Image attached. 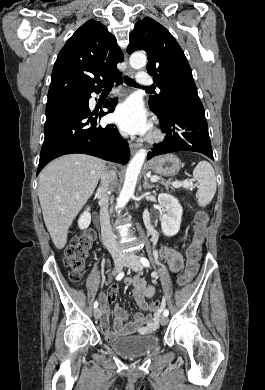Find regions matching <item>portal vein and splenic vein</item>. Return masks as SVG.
<instances>
[{"instance_id":"portal-vein-and-splenic-vein-1","label":"portal vein and splenic vein","mask_w":265,"mask_h":390,"mask_svg":"<svg viewBox=\"0 0 265 390\" xmlns=\"http://www.w3.org/2000/svg\"><path fill=\"white\" fill-rule=\"evenodd\" d=\"M159 177L158 176H152L151 178H150V181L151 182H157V181H159ZM173 185L174 186H183L184 188H192L193 187V184H192V182H188V181H183V182H179V181H175V182H173Z\"/></svg>"}]
</instances>
